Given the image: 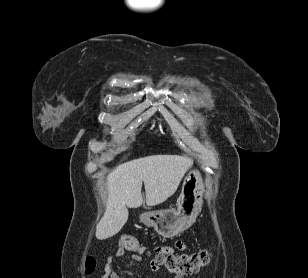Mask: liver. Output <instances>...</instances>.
Masks as SVG:
<instances>
[{
    "label": "liver",
    "mask_w": 308,
    "mask_h": 278,
    "mask_svg": "<svg viewBox=\"0 0 308 278\" xmlns=\"http://www.w3.org/2000/svg\"><path fill=\"white\" fill-rule=\"evenodd\" d=\"M192 159L179 155H153L119 165L107 176L108 198L104 216L96 227V238L117 234L128 219V209L143 203L142 183L147 206L165 202L177 190Z\"/></svg>",
    "instance_id": "liver-1"
}]
</instances>
